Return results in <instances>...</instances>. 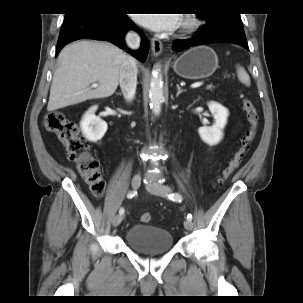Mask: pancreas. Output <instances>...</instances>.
<instances>
[{"label": "pancreas", "mask_w": 303, "mask_h": 303, "mask_svg": "<svg viewBox=\"0 0 303 303\" xmlns=\"http://www.w3.org/2000/svg\"><path fill=\"white\" fill-rule=\"evenodd\" d=\"M206 89H207V90H212V89H213V85H211V84H210V85H207Z\"/></svg>", "instance_id": "1"}]
</instances>
